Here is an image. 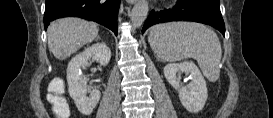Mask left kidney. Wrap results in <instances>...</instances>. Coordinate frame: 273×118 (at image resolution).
<instances>
[{
    "mask_svg": "<svg viewBox=\"0 0 273 118\" xmlns=\"http://www.w3.org/2000/svg\"><path fill=\"white\" fill-rule=\"evenodd\" d=\"M177 73L190 74L191 82L181 87ZM164 75L167 81L179 92L182 105L192 113L203 109L208 98L204 77L199 68L193 62L170 63L164 67Z\"/></svg>",
    "mask_w": 273,
    "mask_h": 118,
    "instance_id": "5707ae66",
    "label": "left kidney"
}]
</instances>
